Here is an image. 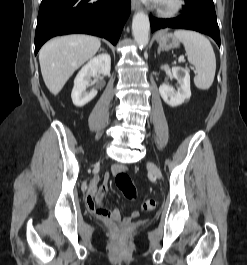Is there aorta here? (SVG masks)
Masks as SVG:
<instances>
[{
    "label": "aorta",
    "instance_id": "1",
    "mask_svg": "<svg viewBox=\"0 0 247 265\" xmlns=\"http://www.w3.org/2000/svg\"><path fill=\"white\" fill-rule=\"evenodd\" d=\"M150 23L148 15L143 11H138L132 20V34L136 43L145 47L149 42Z\"/></svg>",
    "mask_w": 247,
    "mask_h": 265
}]
</instances>
